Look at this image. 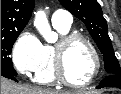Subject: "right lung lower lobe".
I'll return each instance as SVG.
<instances>
[{"mask_svg":"<svg viewBox=\"0 0 121 94\" xmlns=\"http://www.w3.org/2000/svg\"><path fill=\"white\" fill-rule=\"evenodd\" d=\"M1 76H4V77H6V78H8V79L17 81L16 78H15V76H12V75L1 74Z\"/></svg>","mask_w":121,"mask_h":94,"instance_id":"obj_1","label":"right lung lower lobe"}]
</instances>
